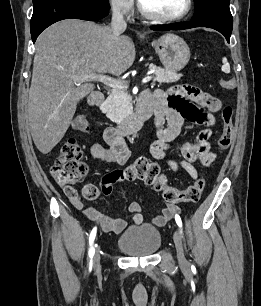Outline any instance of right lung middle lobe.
Listing matches in <instances>:
<instances>
[{
	"label": "right lung middle lobe",
	"instance_id": "right-lung-middle-lobe-1",
	"mask_svg": "<svg viewBox=\"0 0 261 306\" xmlns=\"http://www.w3.org/2000/svg\"><path fill=\"white\" fill-rule=\"evenodd\" d=\"M86 1L102 6V7H105V8H108V9L110 8L108 0H86Z\"/></svg>",
	"mask_w": 261,
	"mask_h": 306
}]
</instances>
